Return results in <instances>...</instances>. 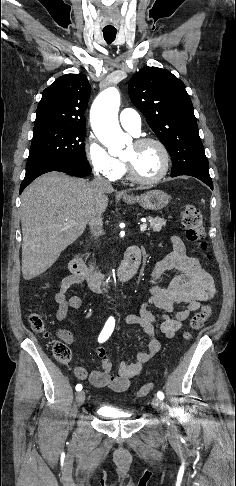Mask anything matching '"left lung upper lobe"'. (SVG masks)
Instances as JSON below:
<instances>
[{"instance_id": "obj_1", "label": "left lung upper lobe", "mask_w": 236, "mask_h": 486, "mask_svg": "<svg viewBox=\"0 0 236 486\" xmlns=\"http://www.w3.org/2000/svg\"><path fill=\"white\" fill-rule=\"evenodd\" d=\"M128 89L131 101L168 148L172 158L171 175L195 173L210 177L184 83L168 70L145 67L130 79Z\"/></svg>"}]
</instances>
